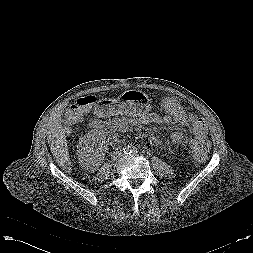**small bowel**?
Listing matches in <instances>:
<instances>
[{
    "label": "small bowel",
    "instance_id": "1",
    "mask_svg": "<svg viewBox=\"0 0 253 253\" xmlns=\"http://www.w3.org/2000/svg\"><path fill=\"white\" fill-rule=\"evenodd\" d=\"M159 125H163V121L160 119V118H158V117H156V116H153L152 117ZM173 140L174 141H176V139L173 137Z\"/></svg>",
    "mask_w": 253,
    "mask_h": 253
}]
</instances>
